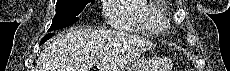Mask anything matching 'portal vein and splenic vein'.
<instances>
[{"label":"portal vein and splenic vein","instance_id":"portal-vein-and-splenic-vein-1","mask_svg":"<svg viewBox=\"0 0 230 71\" xmlns=\"http://www.w3.org/2000/svg\"><path fill=\"white\" fill-rule=\"evenodd\" d=\"M102 56H103L102 53H98V54H97V57H102Z\"/></svg>","mask_w":230,"mask_h":71}]
</instances>
